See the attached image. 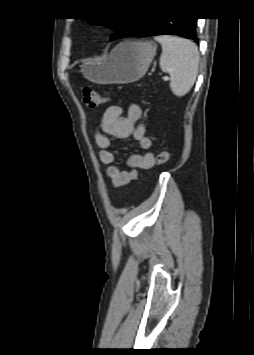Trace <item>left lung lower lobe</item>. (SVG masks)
<instances>
[{
  "mask_svg": "<svg viewBox=\"0 0 254 355\" xmlns=\"http://www.w3.org/2000/svg\"><path fill=\"white\" fill-rule=\"evenodd\" d=\"M196 18H135L123 37L179 35L197 42Z\"/></svg>",
  "mask_w": 254,
  "mask_h": 355,
  "instance_id": "0a47b994",
  "label": "left lung lower lobe"
}]
</instances>
